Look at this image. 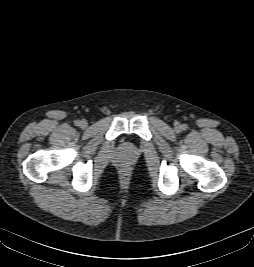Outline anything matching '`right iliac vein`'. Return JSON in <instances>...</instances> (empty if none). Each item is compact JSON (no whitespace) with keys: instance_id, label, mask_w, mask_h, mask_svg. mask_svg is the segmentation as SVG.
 I'll return each mask as SVG.
<instances>
[{"instance_id":"obj_1","label":"right iliac vein","mask_w":254,"mask_h":267,"mask_svg":"<svg viewBox=\"0 0 254 267\" xmlns=\"http://www.w3.org/2000/svg\"><path fill=\"white\" fill-rule=\"evenodd\" d=\"M87 125H88V123H87L86 120H82V121L80 122V126H81L82 128H86Z\"/></svg>"}]
</instances>
